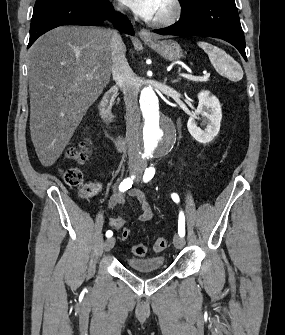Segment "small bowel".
<instances>
[{
  "label": "small bowel",
  "mask_w": 285,
  "mask_h": 335,
  "mask_svg": "<svg viewBox=\"0 0 285 335\" xmlns=\"http://www.w3.org/2000/svg\"><path fill=\"white\" fill-rule=\"evenodd\" d=\"M129 196L136 199L139 203L140 212L138 214V220L142 222L149 221L152 217V210L145 194L139 189H133L129 192ZM124 202L125 193L119 190L111 196L109 200V207L111 210L116 211L124 204ZM125 222L126 221L122 216L116 214L110 219L109 225L115 230H120L125 225Z\"/></svg>",
  "instance_id": "1"
}]
</instances>
